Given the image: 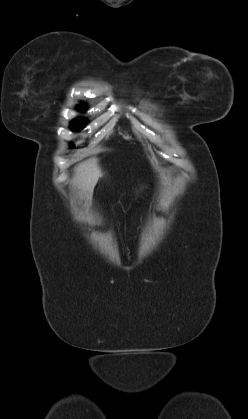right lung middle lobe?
I'll return each instance as SVG.
<instances>
[{
  "label": "right lung middle lobe",
  "instance_id": "1",
  "mask_svg": "<svg viewBox=\"0 0 248 419\" xmlns=\"http://www.w3.org/2000/svg\"><path fill=\"white\" fill-rule=\"evenodd\" d=\"M79 109L80 110H83L84 109V107L83 106H79ZM85 119L84 118H78V119H75L73 122H72V124H71V127H72V129L73 130H81L83 127H84V123H85Z\"/></svg>",
  "mask_w": 248,
  "mask_h": 419
}]
</instances>
